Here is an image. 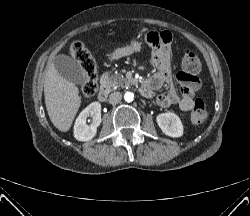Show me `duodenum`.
<instances>
[{"label": "duodenum", "mask_w": 250, "mask_h": 216, "mask_svg": "<svg viewBox=\"0 0 250 216\" xmlns=\"http://www.w3.org/2000/svg\"><path fill=\"white\" fill-rule=\"evenodd\" d=\"M140 89L144 95L147 96L149 94L148 87L144 82L141 84ZM109 93H110V90H109L108 85L104 81H102L100 89H99V93H98V99L102 102L105 101L108 98Z\"/></svg>", "instance_id": "1"}]
</instances>
